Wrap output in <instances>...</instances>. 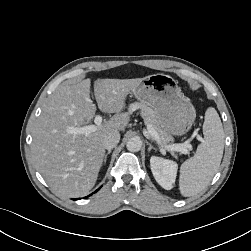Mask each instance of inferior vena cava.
<instances>
[{"label":"inferior vena cava","instance_id":"602c4592","mask_svg":"<svg viewBox=\"0 0 251 251\" xmlns=\"http://www.w3.org/2000/svg\"><path fill=\"white\" fill-rule=\"evenodd\" d=\"M120 140V134L119 133H113L104 138L103 145L107 150L113 149Z\"/></svg>","mask_w":251,"mask_h":251}]
</instances>
